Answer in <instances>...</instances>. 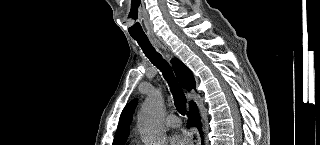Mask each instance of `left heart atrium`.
<instances>
[{
    "instance_id": "obj_1",
    "label": "left heart atrium",
    "mask_w": 320,
    "mask_h": 145,
    "mask_svg": "<svg viewBox=\"0 0 320 145\" xmlns=\"http://www.w3.org/2000/svg\"><path fill=\"white\" fill-rule=\"evenodd\" d=\"M171 145H186L187 139L182 135H174L170 140Z\"/></svg>"
}]
</instances>
